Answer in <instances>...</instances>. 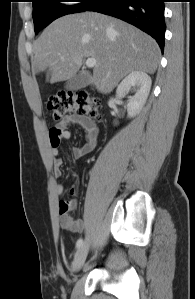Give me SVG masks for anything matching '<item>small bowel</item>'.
I'll list each match as a JSON object with an SVG mask.
<instances>
[{"mask_svg":"<svg viewBox=\"0 0 195 299\" xmlns=\"http://www.w3.org/2000/svg\"><path fill=\"white\" fill-rule=\"evenodd\" d=\"M71 125H77L84 130L85 143L81 146H76L71 149L72 156L76 159L83 157L84 155L92 152L98 143V128L89 119L78 116L69 115L66 116L55 128H53L48 136L53 155V165H54V176L55 178H60L62 176V161L58 157V148L62 140L69 139L71 137V132L68 127ZM55 193L59 198L63 197L64 188L61 183L55 184ZM76 190L72 188L70 190L71 195H75ZM76 200H60L59 211L60 227L64 230L71 232H80L83 228V221L81 219H76L71 215V212L76 208Z\"/></svg>","mask_w":195,"mask_h":299,"instance_id":"c3829d8e","label":"small bowel"}]
</instances>
